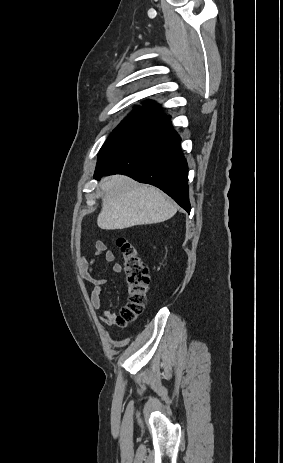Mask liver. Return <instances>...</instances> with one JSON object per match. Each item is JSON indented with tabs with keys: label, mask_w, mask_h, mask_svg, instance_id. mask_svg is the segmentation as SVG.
I'll use <instances>...</instances> for the list:
<instances>
[{
	"label": "liver",
	"mask_w": 283,
	"mask_h": 463,
	"mask_svg": "<svg viewBox=\"0 0 283 463\" xmlns=\"http://www.w3.org/2000/svg\"><path fill=\"white\" fill-rule=\"evenodd\" d=\"M102 209L97 225L104 230L164 222L175 215L176 206L159 189L114 175L100 180Z\"/></svg>",
	"instance_id": "liver-1"
}]
</instances>
